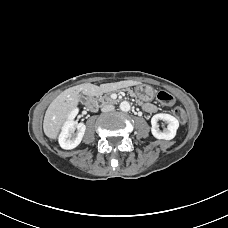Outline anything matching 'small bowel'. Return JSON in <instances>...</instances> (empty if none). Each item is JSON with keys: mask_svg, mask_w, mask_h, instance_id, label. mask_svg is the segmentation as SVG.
<instances>
[{"mask_svg": "<svg viewBox=\"0 0 228 228\" xmlns=\"http://www.w3.org/2000/svg\"><path fill=\"white\" fill-rule=\"evenodd\" d=\"M144 110L152 113V112H155L157 110V107L152 103H146L144 105Z\"/></svg>", "mask_w": 228, "mask_h": 228, "instance_id": "1", "label": "small bowel"}]
</instances>
